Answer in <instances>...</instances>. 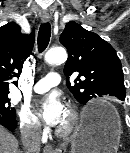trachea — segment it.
Here are the masks:
<instances>
[{
  "label": "trachea",
  "mask_w": 130,
  "mask_h": 153,
  "mask_svg": "<svg viewBox=\"0 0 130 153\" xmlns=\"http://www.w3.org/2000/svg\"><path fill=\"white\" fill-rule=\"evenodd\" d=\"M51 36V25L49 22L41 24L38 32V50L43 52L49 44Z\"/></svg>",
  "instance_id": "1"
}]
</instances>
